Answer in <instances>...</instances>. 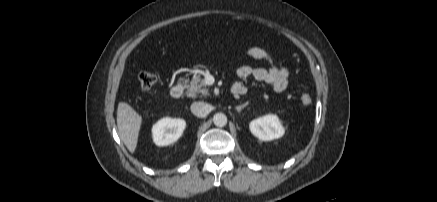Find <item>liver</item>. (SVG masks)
<instances>
[{
    "instance_id": "1",
    "label": "liver",
    "mask_w": 437,
    "mask_h": 202,
    "mask_svg": "<svg viewBox=\"0 0 437 202\" xmlns=\"http://www.w3.org/2000/svg\"><path fill=\"white\" fill-rule=\"evenodd\" d=\"M141 124L142 116L129 104L125 102L118 104L117 126L119 137L131 153H134L137 147Z\"/></svg>"
}]
</instances>
